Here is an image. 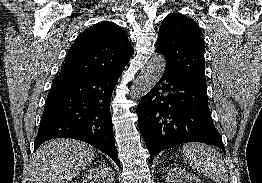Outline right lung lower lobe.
Here are the masks:
<instances>
[{
    "instance_id": "98d812e1",
    "label": "right lung lower lobe",
    "mask_w": 262,
    "mask_h": 183,
    "mask_svg": "<svg viewBox=\"0 0 262 183\" xmlns=\"http://www.w3.org/2000/svg\"><path fill=\"white\" fill-rule=\"evenodd\" d=\"M121 73L57 77L47 96L34 150L52 138H74L104 152L120 167L110 99Z\"/></svg>"
}]
</instances>
